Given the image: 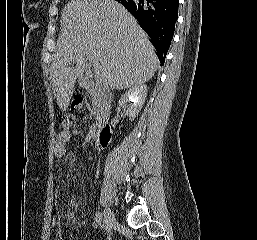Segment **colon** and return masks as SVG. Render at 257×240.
<instances>
[{"label": "colon", "mask_w": 257, "mask_h": 240, "mask_svg": "<svg viewBox=\"0 0 257 240\" xmlns=\"http://www.w3.org/2000/svg\"><path fill=\"white\" fill-rule=\"evenodd\" d=\"M71 108L74 110H81L83 108V99L81 96L76 95L71 103ZM67 120H70L68 117Z\"/></svg>", "instance_id": "5ec220e1"}]
</instances>
